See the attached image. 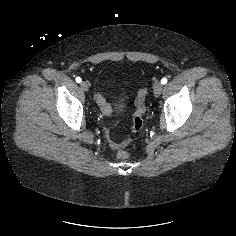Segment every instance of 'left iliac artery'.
<instances>
[{
  "label": "left iliac artery",
  "mask_w": 236,
  "mask_h": 236,
  "mask_svg": "<svg viewBox=\"0 0 236 236\" xmlns=\"http://www.w3.org/2000/svg\"><path fill=\"white\" fill-rule=\"evenodd\" d=\"M161 83H162V84H166V83H167V78H165V77L162 78Z\"/></svg>",
  "instance_id": "obj_1"
}]
</instances>
